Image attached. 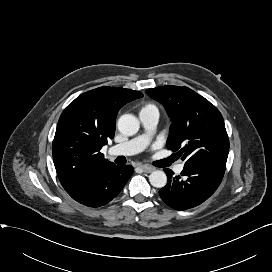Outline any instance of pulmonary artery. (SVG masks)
<instances>
[{
  "label": "pulmonary artery",
  "mask_w": 272,
  "mask_h": 272,
  "mask_svg": "<svg viewBox=\"0 0 272 272\" xmlns=\"http://www.w3.org/2000/svg\"><path fill=\"white\" fill-rule=\"evenodd\" d=\"M139 119L144 128V133L134 139L109 148L108 153L111 156H130L142 151L150 142L159 121V112L156 108L142 109L139 112ZM183 170V164L175 166V171L180 173Z\"/></svg>",
  "instance_id": "obj_1"
}]
</instances>
